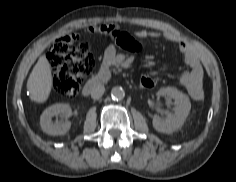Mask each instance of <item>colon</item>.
I'll list each match as a JSON object with an SVG mask.
<instances>
[{
    "mask_svg": "<svg viewBox=\"0 0 236 182\" xmlns=\"http://www.w3.org/2000/svg\"><path fill=\"white\" fill-rule=\"evenodd\" d=\"M108 35L122 49L139 52L141 44L130 34L113 25H102L95 29ZM75 37L70 35L59 38L48 46V59L53 71V85L57 93L64 97L76 95L85 76L95 67V59L88 47L83 43H74ZM140 85L150 89L156 85V79L150 74H143Z\"/></svg>",
    "mask_w": 236,
    "mask_h": 182,
    "instance_id": "obj_1",
    "label": "colon"
}]
</instances>
